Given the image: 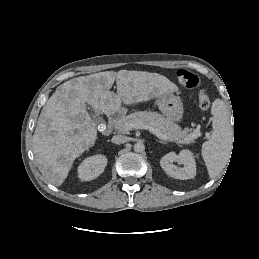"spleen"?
I'll return each instance as SVG.
<instances>
[{"label":"spleen","mask_w":259,"mask_h":259,"mask_svg":"<svg viewBox=\"0 0 259 259\" xmlns=\"http://www.w3.org/2000/svg\"><path fill=\"white\" fill-rule=\"evenodd\" d=\"M212 133L202 145V157L210 178L218 176L225 168L232 150L233 128L224 101L216 99L211 107Z\"/></svg>","instance_id":"1"}]
</instances>
